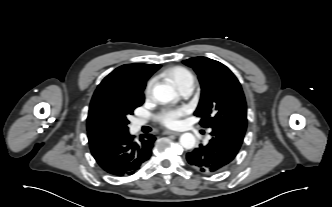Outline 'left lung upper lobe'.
<instances>
[{"label":"left lung upper lobe","instance_id":"5c2ea615","mask_svg":"<svg viewBox=\"0 0 332 207\" xmlns=\"http://www.w3.org/2000/svg\"><path fill=\"white\" fill-rule=\"evenodd\" d=\"M183 63L195 70L201 84V98L194 112L201 118L200 125L245 132L246 101L239 81L229 68L206 57L190 58Z\"/></svg>","mask_w":332,"mask_h":207}]
</instances>
